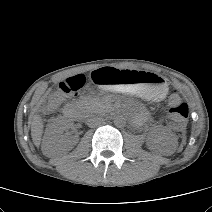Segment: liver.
I'll use <instances>...</instances> for the list:
<instances>
[{
	"label": "liver",
	"mask_w": 212,
	"mask_h": 212,
	"mask_svg": "<svg viewBox=\"0 0 212 212\" xmlns=\"http://www.w3.org/2000/svg\"><path fill=\"white\" fill-rule=\"evenodd\" d=\"M43 127L42 118L39 115H35L31 123V136L35 146L37 147H39L41 142Z\"/></svg>",
	"instance_id": "1"
}]
</instances>
